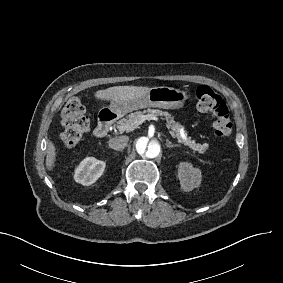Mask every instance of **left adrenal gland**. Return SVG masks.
Masks as SVG:
<instances>
[{
    "mask_svg": "<svg viewBox=\"0 0 283 283\" xmlns=\"http://www.w3.org/2000/svg\"><path fill=\"white\" fill-rule=\"evenodd\" d=\"M166 146L168 148H173V147H180V144L174 145L172 142H169V140L166 141Z\"/></svg>",
    "mask_w": 283,
    "mask_h": 283,
    "instance_id": "obj_1",
    "label": "left adrenal gland"
}]
</instances>
